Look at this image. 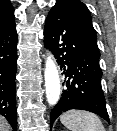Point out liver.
Wrapping results in <instances>:
<instances>
[{"instance_id":"obj_1","label":"liver","mask_w":117,"mask_h":131,"mask_svg":"<svg viewBox=\"0 0 117 131\" xmlns=\"http://www.w3.org/2000/svg\"><path fill=\"white\" fill-rule=\"evenodd\" d=\"M9 130V126L7 121L0 116V131H8Z\"/></svg>"}]
</instances>
